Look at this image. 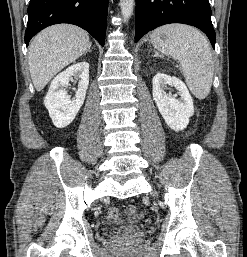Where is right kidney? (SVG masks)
<instances>
[{"label": "right kidney", "mask_w": 247, "mask_h": 257, "mask_svg": "<svg viewBox=\"0 0 247 257\" xmlns=\"http://www.w3.org/2000/svg\"><path fill=\"white\" fill-rule=\"evenodd\" d=\"M73 76L79 78L80 81L76 96L71 100L66 89ZM88 84L89 63L86 61L71 65L53 79L44 99V105L56 127L64 128L75 119L84 103Z\"/></svg>", "instance_id": "right-kidney-1"}]
</instances>
